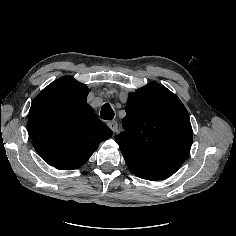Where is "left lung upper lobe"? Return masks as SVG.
<instances>
[{"mask_svg":"<svg viewBox=\"0 0 236 236\" xmlns=\"http://www.w3.org/2000/svg\"><path fill=\"white\" fill-rule=\"evenodd\" d=\"M123 128L115 140L130 171L143 179L171 176L191 148L192 127L185 106L157 83L129 94Z\"/></svg>","mask_w":236,"mask_h":236,"instance_id":"obj_1","label":"left lung upper lobe"}]
</instances>
